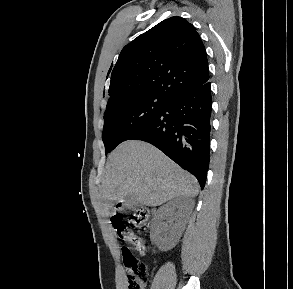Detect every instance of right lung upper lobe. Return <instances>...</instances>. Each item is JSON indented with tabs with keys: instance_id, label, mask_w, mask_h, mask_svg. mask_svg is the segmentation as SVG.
<instances>
[{
	"instance_id": "cb5924a9",
	"label": "right lung upper lobe",
	"mask_w": 293,
	"mask_h": 289,
	"mask_svg": "<svg viewBox=\"0 0 293 289\" xmlns=\"http://www.w3.org/2000/svg\"><path fill=\"white\" fill-rule=\"evenodd\" d=\"M209 80L206 50L196 28L174 16L126 45L111 73L109 100L161 94L168 99Z\"/></svg>"
}]
</instances>
